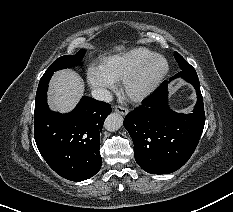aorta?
<instances>
[{
	"mask_svg": "<svg viewBox=\"0 0 233 212\" xmlns=\"http://www.w3.org/2000/svg\"><path fill=\"white\" fill-rule=\"evenodd\" d=\"M123 124V117L119 113H111L105 120L104 127L108 131H116Z\"/></svg>",
	"mask_w": 233,
	"mask_h": 212,
	"instance_id": "762f6f07",
	"label": "aorta"
}]
</instances>
